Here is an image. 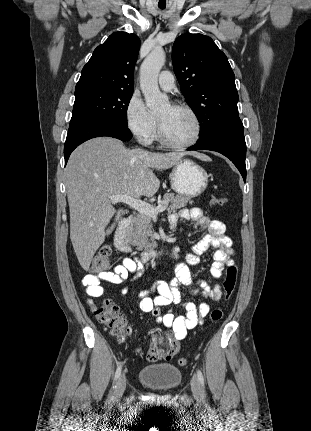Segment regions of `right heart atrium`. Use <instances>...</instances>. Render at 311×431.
<instances>
[{
    "label": "right heart atrium",
    "instance_id": "1",
    "mask_svg": "<svg viewBox=\"0 0 311 431\" xmlns=\"http://www.w3.org/2000/svg\"><path fill=\"white\" fill-rule=\"evenodd\" d=\"M124 118L127 130L138 141L149 143L153 139L157 126L156 118L135 92L130 95L126 103Z\"/></svg>",
    "mask_w": 311,
    "mask_h": 431
}]
</instances>
